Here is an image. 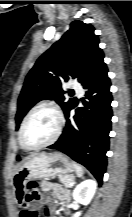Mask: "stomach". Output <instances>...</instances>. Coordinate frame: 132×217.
<instances>
[{
  "mask_svg": "<svg viewBox=\"0 0 132 217\" xmlns=\"http://www.w3.org/2000/svg\"><path fill=\"white\" fill-rule=\"evenodd\" d=\"M74 164L60 152L40 153L33 156L14 173L13 184L25 186L31 180L49 179L56 175H67L74 172Z\"/></svg>",
  "mask_w": 132,
  "mask_h": 217,
  "instance_id": "1",
  "label": "stomach"
}]
</instances>
